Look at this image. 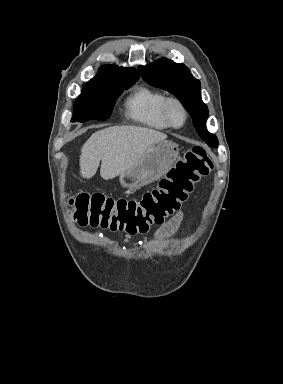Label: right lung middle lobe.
I'll list each match as a JSON object with an SVG mask.
<instances>
[{
    "label": "right lung middle lobe",
    "mask_w": 283,
    "mask_h": 384,
    "mask_svg": "<svg viewBox=\"0 0 283 384\" xmlns=\"http://www.w3.org/2000/svg\"><path fill=\"white\" fill-rule=\"evenodd\" d=\"M135 82L114 83L84 88L75 101L72 121L106 120L111 116L115 100Z\"/></svg>",
    "instance_id": "obj_1"
}]
</instances>
